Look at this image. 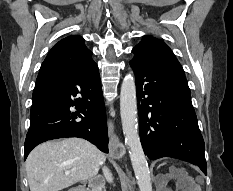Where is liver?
<instances>
[{"label": "liver", "instance_id": "1", "mask_svg": "<svg viewBox=\"0 0 233 191\" xmlns=\"http://www.w3.org/2000/svg\"><path fill=\"white\" fill-rule=\"evenodd\" d=\"M103 152L81 138H65L34 148L26 160L30 191H60L97 176ZM70 174L66 175L65 172Z\"/></svg>", "mask_w": 233, "mask_h": 191}]
</instances>
